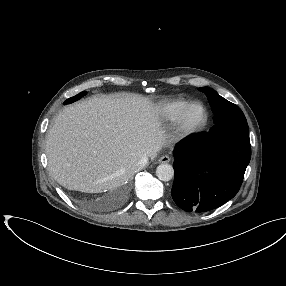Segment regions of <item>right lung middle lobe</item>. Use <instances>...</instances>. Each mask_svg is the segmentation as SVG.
I'll use <instances>...</instances> for the list:
<instances>
[{"label":"right lung middle lobe","instance_id":"right-lung-middle-lobe-1","mask_svg":"<svg viewBox=\"0 0 286 286\" xmlns=\"http://www.w3.org/2000/svg\"><path fill=\"white\" fill-rule=\"evenodd\" d=\"M86 94H87V92H86V91H83V92L77 94L76 96L67 99V100L64 102V104H70V103H72V102H75V101L79 100L80 98H82L83 96H85Z\"/></svg>","mask_w":286,"mask_h":286}]
</instances>
